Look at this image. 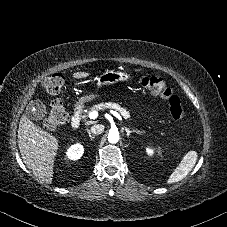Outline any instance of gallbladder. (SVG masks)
Wrapping results in <instances>:
<instances>
[{
	"label": "gallbladder",
	"instance_id": "1",
	"mask_svg": "<svg viewBox=\"0 0 227 227\" xmlns=\"http://www.w3.org/2000/svg\"><path fill=\"white\" fill-rule=\"evenodd\" d=\"M26 114L32 119H42L46 114L45 105L39 100L31 101L26 108Z\"/></svg>",
	"mask_w": 227,
	"mask_h": 227
}]
</instances>
